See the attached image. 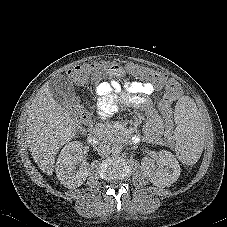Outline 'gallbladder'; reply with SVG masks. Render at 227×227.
<instances>
[{
    "mask_svg": "<svg viewBox=\"0 0 227 227\" xmlns=\"http://www.w3.org/2000/svg\"><path fill=\"white\" fill-rule=\"evenodd\" d=\"M50 92L63 104H73L76 100L74 86L63 75H57L49 81Z\"/></svg>",
    "mask_w": 227,
    "mask_h": 227,
    "instance_id": "gallbladder-1",
    "label": "gallbladder"
}]
</instances>
